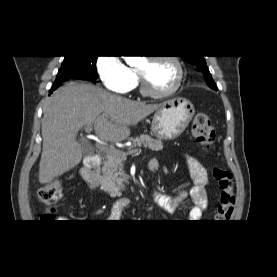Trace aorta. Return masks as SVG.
Wrapping results in <instances>:
<instances>
[{
  "label": "aorta",
  "mask_w": 277,
  "mask_h": 277,
  "mask_svg": "<svg viewBox=\"0 0 277 277\" xmlns=\"http://www.w3.org/2000/svg\"><path fill=\"white\" fill-rule=\"evenodd\" d=\"M126 60L129 62H134L136 59L133 56H126Z\"/></svg>",
  "instance_id": "1"
}]
</instances>
